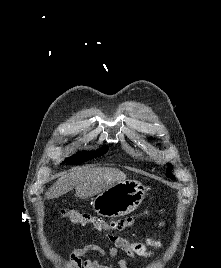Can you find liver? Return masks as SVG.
I'll use <instances>...</instances> for the list:
<instances>
[{
	"instance_id": "obj_1",
	"label": "liver",
	"mask_w": 221,
	"mask_h": 268,
	"mask_svg": "<svg viewBox=\"0 0 221 268\" xmlns=\"http://www.w3.org/2000/svg\"><path fill=\"white\" fill-rule=\"evenodd\" d=\"M126 174L119 169L109 167L79 168L64 173L45 193V198H58L73 188L76 196L86 199L95 196L113 185L126 181Z\"/></svg>"
}]
</instances>
